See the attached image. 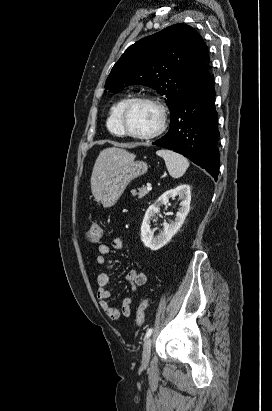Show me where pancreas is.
Masks as SVG:
<instances>
[{
    "label": "pancreas",
    "instance_id": "1",
    "mask_svg": "<svg viewBox=\"0 0 272 411\" xmlns=\"http://www.w3.org/2000/svg\"><path fill=\"white\" fill-rule=\"evenodd\" d=\"M149 193L148 190H146V188H139L138 192L136 190L132 191L133 195H137V199H142L144 196H146Z\"/></svg>",
    "mask_w": 272,
    "mask_h": 411
}]
</instances>
